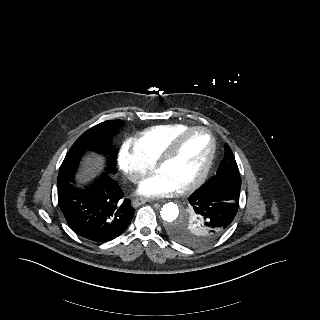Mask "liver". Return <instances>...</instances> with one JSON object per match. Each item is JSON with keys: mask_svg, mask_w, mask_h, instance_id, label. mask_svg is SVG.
Returning <instances> with one entry per match:
<instances>
[{"mask_svg": "<svg viewBox=\"0 0 320 320\" xmlns=\"http://www.w3.org/2000/svg\"><path fill=\"white\" fill-rule=\"evenodd\" d=\"M101 169V160L99 158H88L83 170L77 175L79 180H87L95 176Z\"/></svg>", "mask_w": 320, "mask_h": 320, "instance_id": "obj_1", "label": "liver"}]
</instances>
